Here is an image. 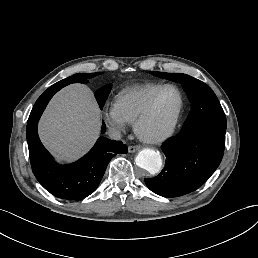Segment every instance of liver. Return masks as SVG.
<instances>
[{"label": "liver", "mask_w": 258, "mask_h": 258, "mask_svg": "<svg viewBox=\"0 0 258 258\" xmlns=\"http://www.w3.org/2000/svg\"><path fill=\"white\" fill-rule=\"evenodd\" d=\"M100 109L87 85L71 84L49 102L38 125L43 145L59 160L73 161L96 142Z\"/></svg>", "instance_id": "liver-1"}]
</instances>
